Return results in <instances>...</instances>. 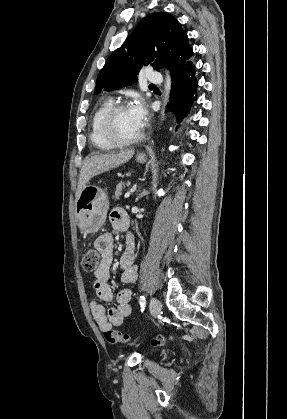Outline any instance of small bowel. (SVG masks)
I'll return each mask as SVG.
<instances>
[{
	"label": "small bowel",
	"mask_w": 287,
	"mask_h": 419,
	"mask_svg": "<svg viewBox=\"0 0 287 419\" xmlns=\"http://www.w3.org/2000/svg\"><path fill=\"white\" fill-rule=\"evenodd\" d=\"M110 222L117 230H124L129 226V217L126 211L117 207L110 214ZM113 236L111 233H103L94 242L95 249L101 254L102 260L95 271V281L93 288L100 300L110 302L113 299V292L107 281L110 276V267L113 255ZM122 268L120 280L124 284L132 283L136 280L137 268L135 265V245L132 236H128L127 245L120 259ZM132 292L130 289L124 288L116 295V306L108 310L104 305L96 300H92L89 304L92 316L102 331L110 330L113 326H120L125 317L131 312Z\"/></svg>",
	"instance_id": "obj_1"
}]
</instances>
